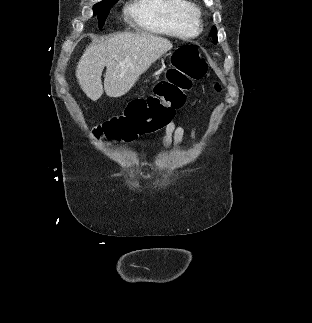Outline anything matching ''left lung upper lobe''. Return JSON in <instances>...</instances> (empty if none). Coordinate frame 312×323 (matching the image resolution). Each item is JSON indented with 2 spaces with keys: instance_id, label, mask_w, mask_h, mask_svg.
<instances>
[{
  "instance_id": "left-lung-upper-lobe-1",
  "label": "left lung upper lobe",
  "mask_w": 312,
  "mask_h": 323,
  "mask_svg": "<svg viewBox=\"0 0 312 323\" xmlns=\"http://www.w3.org/2000/svg\"><path fill=\"white\" fill-rule=\"evenodd\" d=\"M212 38L214 41H217V29L216 27H212Z\"/></svg>"
}]
</instances>
